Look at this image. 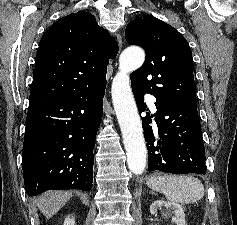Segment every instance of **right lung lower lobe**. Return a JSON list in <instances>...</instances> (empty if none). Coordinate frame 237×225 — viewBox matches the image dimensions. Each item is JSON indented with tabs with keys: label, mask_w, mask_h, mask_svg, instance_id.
<instances>
[{
	"label": "right lung lower lobe",
	"mask_w": 237,
	"mask_h": 225,
	"mask_svg": "<svg viewBox=\"0 0 237 225\" xmlns=\"http://www.w3.org/2000/svg\"><path fill=\"white\" fill-rule=\"evenodd\" d=\"M105 86H89L65 99L29 105L22 151L28 195L92 188L93 149Z\"/></svg>",
	"instance_id": "obj_1"
}]
</instances>
